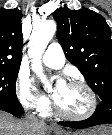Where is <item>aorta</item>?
<instances>
[{
    "mask_svg": "<svg viewBox=\"0 0 112 135\" xmlns=\"http://www.w3.org/2000/svg\"><path fill=\"white\" fill-rule=\"evenodd\" d=\"M56 32V23L49 20L33 28L29 41L28 55L32 58V70L41 80L44 86H48L49 81L43 73L41 57L48 43Z\"/></svg>",
    "mask_w": 112,
    "mask_h": 135,
    "instance_id": "1",
    "label": "aorta"
}]
</instances>
